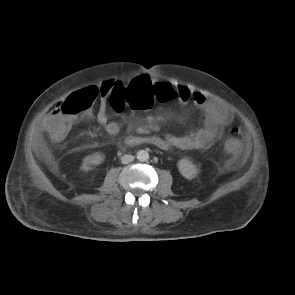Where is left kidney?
I'll use <instances>...</instances> for the list:
<instances>
[{
	"mask_svg": "<svg viewBox=\"0 0 295 295\" xmlns=\"http://www.w3.org/2000/svg\"><path fill=\"white\" fill-rule=\"evenodd\" d=\"M177 167L181 175L188 180L193 179L198 173L196 166L187 158L180 159Z\"/></svg>",
	"mask_w": 295,
	"mask_h": 295,
	"instance_id": "obj_1",
	"label": "left kidney"
}]
</instances>
